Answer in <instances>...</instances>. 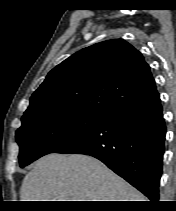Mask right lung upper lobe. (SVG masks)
Here are the masks:
<instances>
[{
  "label": "right lung upper lobe",
  "mask_w": 176,
  "mask_h": 211,
  "mask_svg": "<svg viewBox=\"0 0 176 211\" xmlns=\"http://www.w3.org/2000/svg\"><path fill=\"white\" fill-rule=\"evenodd\" d=\"M142 54L122 39L84 48L51 70L23 117L49 108L109 115L157 94Z\"/></svg>",
  "instance_id": "1"
}]
</instances>
